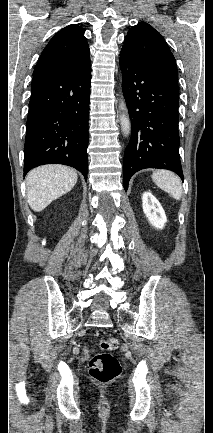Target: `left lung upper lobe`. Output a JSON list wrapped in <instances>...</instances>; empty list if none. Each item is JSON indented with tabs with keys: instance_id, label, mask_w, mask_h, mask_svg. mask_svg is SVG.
<instances>
[{
	"instance_id": "left-lung-upper-lobe-1",
	"label": "left lung upper lobe",
	"mask_w": 213,
	"mask_h": 433,
	"mask_svg": "<svg viewBox=\"0 0 213 433\" xmlns=\"http://www.w3.org/2000/svg\"><path fill=\"white\" fill-rule=\"evenodd\" d=\"M121 51L150 72L178 82L173 54L161 34L148 23L139 22L129 30Z\"/></svg>"
}]
</instances>
